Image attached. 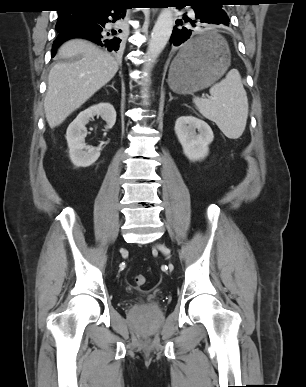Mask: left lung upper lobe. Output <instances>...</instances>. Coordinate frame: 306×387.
Here are the masks:
<instances>
[{"label":"left lung upper lobe","mask_w":306,"mask_h":387,"mask_svg":"<svg viewBox=\"0 0 306 387\" xmlns=\"http://www.w3.org/2000/svg\"><path fill=\"white\" fill-rule=\"evenodd\" d=\"M190 1H195V2H211L217 6L219 9L220 14L222 15L223 18L228 19V16L226 12L222 9L223 2L225 0H190Z\"/></svg>","instance_id":"obj_1"}]
</instances>
